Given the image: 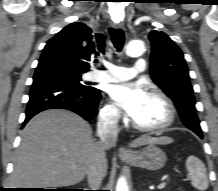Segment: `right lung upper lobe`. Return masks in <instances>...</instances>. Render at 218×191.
<instances>
[{"label":"right lung upper lobe","instance_id":"cb5924a9","mask_svg":"<svg viewBox=\"0 0 218 191\" xmlns=\"http://www.w3.org/2000/svg\"><path fill=\"white\" fill-rule=\"evenodd\" d=\"M104 36L83 23H71L51 38L41 56H54L72 67L87 72L88 61L104 52Z\"/></svg>","mask_w":218,"mask_h":191}]
</instances>
